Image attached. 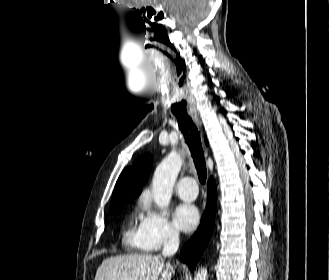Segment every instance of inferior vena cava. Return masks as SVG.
Segmentation results:
<instances>
[{
	"mask_svg": "<svg viewBox=\"0 0 329 280\" xmlns=\"http://www.w3.org/2000/svg\"><path fill=\"white\" fill-rule=\"evenodd\" d=\"M179 247V235L177 231L171 230L168 233V238L164 241L162 255L164 257L173 256Z\"/></svg>",
	"mask_w": 329,
	"mask_h": 280,
	"instance_id": "inferior-vena-cava-1",
	"label": "inferior vena cava"
}]
</instances>
